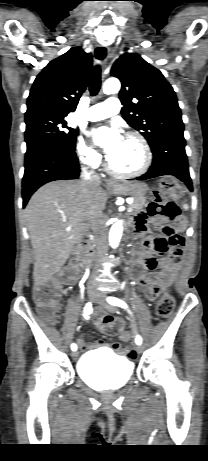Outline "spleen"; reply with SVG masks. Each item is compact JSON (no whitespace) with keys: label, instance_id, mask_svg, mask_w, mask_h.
I'll return each mask as SVG.
<instances>
[{"label":"spleen","instance_id":"obj_1","mask_svg":"<svg viewBox=\"0 0 208 461\" xmlns=\"http://www.w3.org/2000/svg\"><path fill=\"white\" fill-rule=\"evenodd\" d=\"M183 208H184V210H188L189 207H188L187 204H184V205H183Z\"/></svg>","mask_w":208,"mask_h":461}]
</instances>
